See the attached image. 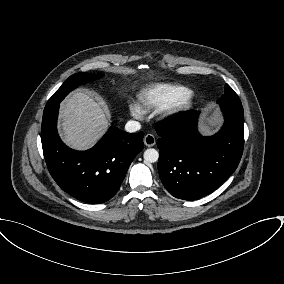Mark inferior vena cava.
Returning <instances> with one entry per match:
<instances>
[{"label": "inferior vena cava", "instance_id": "inferior-vena-cava-1", "mask_svg": "<svg viewBox=\"0 0 284 284\" xmlns=\"http://www.w3.org/2000/svg\"><path fill=\"white\" fill-rule=\"evenodd\" d=\"M141 124L138 121L130 120L125 125V130L129 133H134L140 130Z\"/></svg>", "mask_w": 284, "mask_h": 284}]
</instances>
